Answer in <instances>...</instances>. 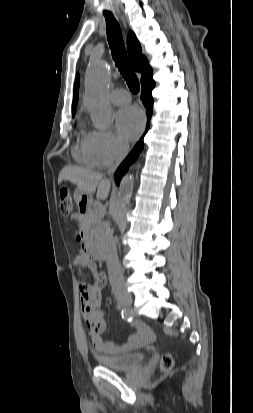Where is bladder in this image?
I'll return each instance as SVG.
<instances>
[{
	"label": "bladder",
	"instance_id": "bladder-1",
	"mask_svg": "<svg viewBox=\"0 0 253 413\" xmlns=\"http://www.w3.org/2000/svg\"><path fill=\"white\" fill-rule=\"evenodd\" d=\"M96 361L99 365L112 370H128L140 366L144 361V354L134 352L114 356H97Z\"/></svg>",
	"mask_w": 253,
	"mask_h": 413
}]
</instances>
